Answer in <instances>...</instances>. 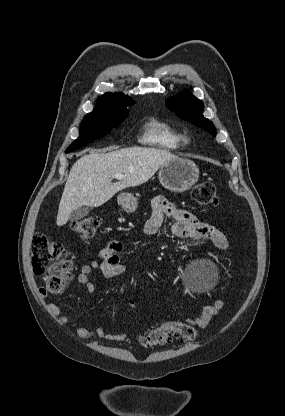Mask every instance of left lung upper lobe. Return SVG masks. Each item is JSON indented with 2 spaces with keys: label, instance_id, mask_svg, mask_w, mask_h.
I'll use <instances>...</instances> for the list:
<instances>
[{
  "label": "left lung upper lobe",
  "instance_id": "5c2ea615",
  "mask_svg": "<svg viewBox=\"0 0 285 416\" xmlns=\"http://www.w3.org/2000/svg\"><path fill=\"white\" fill-rule=\"evenodd\" d=\"M166 106L180 118L204 128L214 137L216 129L214 124L203 116V102L185 90L166 101Z\"/></svg>",
  "mask_w": 285,
  "mask_h": 416
}]
</instances>
